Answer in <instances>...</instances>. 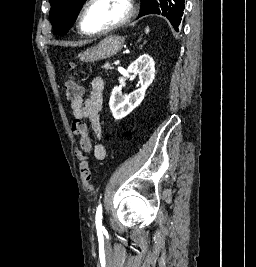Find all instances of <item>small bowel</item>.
Returning <instances> with one entry per match:
<instances>
[{
	"mask_svg": "<svg viewBox=\"0 0 256 267\" xmlns=\"http://www.w3.org/2000/svg\"><path fill=\"white\" fill-rule=\"evenodd\" d=\"M104 89V80L102 77H94L90 82L89 93L86 98L82 96L71 102V115L73 118H86L89 121L92 131L98 139L101 138V119L100 110L102 106V93ZM78 134V133H77ZM82 150L77 151V157L85 160L83 151H90L92 148L91 139L81 138ZM97 160H103L106 157V149L100 142L96 143L93 149Z\"/></svg>",
	"mask_w": 256,
	"mask_h": 267,
	"instance_id": "small-bowel-1",
	"label": "small bowel"
}]
</instances>
